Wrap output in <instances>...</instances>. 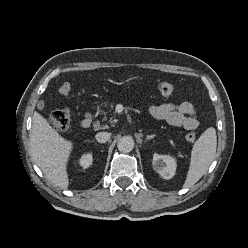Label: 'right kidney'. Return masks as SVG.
I'll return each instance as SVG.
<instances>
[{
    "instance_id": "obj_1",
    "label": "right kidney",
    "mask_w": 248,
    "mask_h": 248,
    "mask_svg": "<svg viewBox=\"0 0 248 248\" xmlns=\"http://www.w3.org/2000/svg\"><path fill=\"white\" fill-rule=\"evenodd\" d=\"M93 161V157L91 153H87L82 155V157L79 159V164L83 169L88 168Z\"/></svg>"
}]
</instances>
